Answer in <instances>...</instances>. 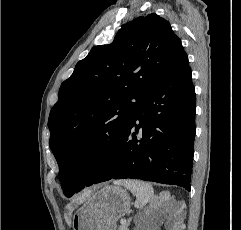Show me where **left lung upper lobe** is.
<instances>
[{"mask_svg":"<svg viewBox=\"0 0 241 230\" xmlns=\"http://www.w3.org/2000/svg\"><path fill=\"white\" fill-rule=\"evenodd\" d=\"M185 53L165 19L152 13L125 24L109 45L95 46L76 64L50 112V148L70 197L73 166L99 140L115 142L137 105Z\"/></svg>","mask_w":241,"mask_h":230,"instance_id":"obj_1","label":"left lung upper lobe"}]
</instances>
